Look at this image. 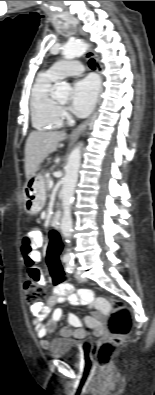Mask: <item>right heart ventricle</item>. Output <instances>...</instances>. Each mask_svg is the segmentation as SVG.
Listing matches in <instances>:
<instances>
[{
    "instance_id": "1",
    "label": "right heart ventricle",
    "mask_w": 155,
    "mask_h": 395,
    "mask_svg": "<svg viewBox=\"0 0 155 395\" xmlns=\"http://www.w3.org/2000/svg\"><path fill=\"white\" fill-rule=\"evenodd\" d=\"M58 79L49 72H44L36 78L30 93L29 107L32 126L41 131L61 127L60 108L52 96L54 83Z\"/></svg>"
}]
</instances>
